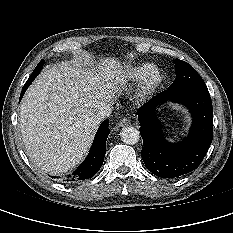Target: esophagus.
I'll list each match as a JSON object with an SVG mask.
<instances>
[{
    "mask_svg": "<svg viewBox=\"0 0 233 233\" xmlns=\"http://www.w3.org/2000/svg\"><path fill=\"white\" fill-rule=\"evenodd\" d=\"M131 124V120L128 117H124L123 119H121L118 124L116 125V127H123V126H127Z\"/></svg>",
    "mask_w": 233,
    "mask_h": 233,
    "instance_id": "esophagus-1",
    "label": "esophagus"
}]
</instances>
